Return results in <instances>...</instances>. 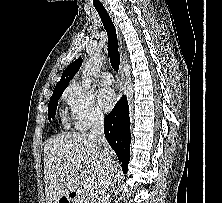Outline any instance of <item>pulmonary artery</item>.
<instances>
[{
  "label": "pulmonary artery",
  "instance_id": "1",
  "mask_svg": "<svg viewBox=\"0 0 222 203\" xmlns=\"http://www.w3.org/2000/svg\"><path fill=\"white\" fill-rule=\"evenodd\" d=\"M100 82L103 85H110L113 82L112 74L108 71H104L101 73Z\"/></svg>",
  "mask_w": 222,
  "mask_h": 203
}]
</instances>
